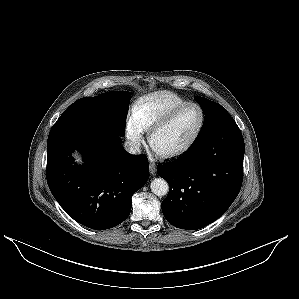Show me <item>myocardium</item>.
<instances>
[{"label": "myocardium", "mask_w": 299, "mask_h": 299, "mask_svg": "<svg viewBox=\"0 0 299 299\" xmlns=\"http://www.w3.org/2000/svg\"><path fill=\"white\" fill-rule=\"evenodd\" d=\"M189 107H197L201 113V119H200V123H199L197 130L195 131V133L191 137V139L184 146L180 147L179 149L171 151V152H167V153H158V154H160V156L162 158L173 159V158L180 157V156L184 155L185 153H187L195 145V143L199 139V137L204 129V126H205V122H206L205 110L200 104H198L196 102H188V103L176 108L175 110H173L170 114H168L162 120L155 123L149 129L148 142L152 146V140H153L154 135L158 131L169 126L183 111H185Z\"/></svg>", "instance_id": "1"}]
</instances>
